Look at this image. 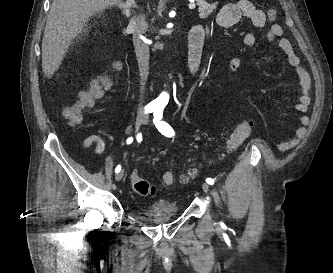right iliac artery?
<instances>
[{"mask_svg": "<svg viewBox=\"0 0 333 273\" xmlns=\"http://www.w3.org/2000/svg\"><path fill=\"white\" fill-rule=\"evenodd\" d=\"M154 109H155V108L152 107V106H146L144 112H145V114L152 113V112L154 111ZM132 141H133V138H132V137H129V138L126 140L127 144H131ZM120 170H121V166L118 165V166L115 168V172L118 173V172H120Z\"/></svg>", "mask_w": 333, "mask_h": 273, "instance_id": "1", "label": "right iliac artery"}]
</instances>
